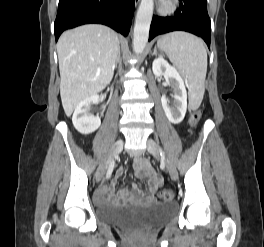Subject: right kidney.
<instances>
[{"label":"right kidney","mask_w":264,"mask_h":247,"mask_svg":"<svg viewBox=\"0 0 264 247\" xmlns=\"http://www.w3.org/2000/svg\"><path fill=\"white\" fill-rule=\"evenodd\" d=\"M99 101V95H92L81 101L75 108L72 122L74 127L81 134H90L101 125L99 116L90 113L91 105Z\"/></svg>","instance_id":"1"}]
</instances>
